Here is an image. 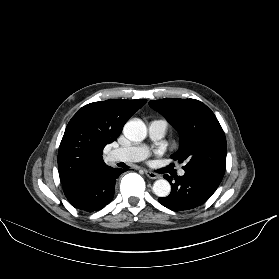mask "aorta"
<instances>
[{"mask_svg":"<svg viewBox=\"0 0 279 279\" xmlns=\"http://www.w3.org/2000/svg\"><path fill=\"white\" fill-rule=\"evenodd\" d=\"M123 133L129 140L137 142L145 139L147 129L141 120H130L125 124ZM153 192L158 197H166L171 192V185L165 179L156 180L153 184Z\"/></svg>","mask_w":279,"mask_h":279,"instance_id":"1","label":"aorta"}]
</instances>
